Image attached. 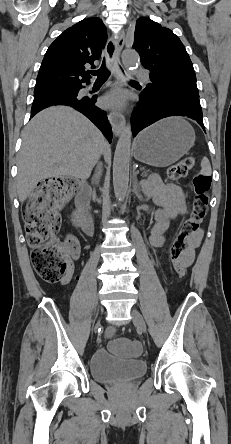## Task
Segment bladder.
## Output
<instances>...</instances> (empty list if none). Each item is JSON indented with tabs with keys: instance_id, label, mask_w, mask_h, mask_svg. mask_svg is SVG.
Wrapping results in <instances>:
<instances>
[{
	"instance_id": "bladder-1",
	"label": "bladder",
	"mask_w": 231,
	"mask_h": 444,
	"mask_svg": "<svg viewBox=\"0 0 231 444\" xmlns=\"http://www.w3.org/2000/svg\"><path fill=\"white\" fill-rule=\"evenodd\" d=\"M147 365L139 359H120L107 349H99L90 359L92 377L101 383L132 381L143 376Z\"/></svg>"
}]
</instances>
